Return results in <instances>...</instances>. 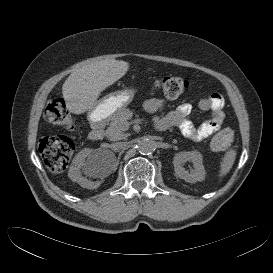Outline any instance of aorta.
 I'll use <instances>...</instances> for the list:
<instances>
[{
  "label": "aorta",
  "instance_id": "obj_1",
  "mask_svg": "<svg viewBox=\"0 0 273 273\" xmlns=\"http://www.w3.org/2000/svg\"><path fill=\"white\" fill-rule=\"evenodd\" d=\"M137 150L140 154L149 155L155 150V143L150 139H143L139 141Z\"/></svg>",
  "mask_w": 273,
  "mask_h": 273
}]
</instances>
